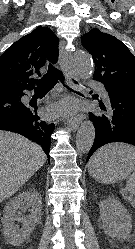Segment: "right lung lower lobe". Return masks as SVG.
<instances>
[{
	"instance_id": "right-lung-lower-lobe-1",
	"label": "right lung lower lobe",
	"mask_w": 135,
	"mask_h": 249,
	"mask_svg": "<svg viewBox=\"0 0 135 249\" xmlns=\"http://www.w3.org/2000/svg\"><path fill=\"white\" fill-rule=\"evenodd\" d=\"M21 92H0V130L16 132L35 141L50 159V136L55 125L42 121L34 104L24 103Z\"/></svg>"
}]
</instances>
